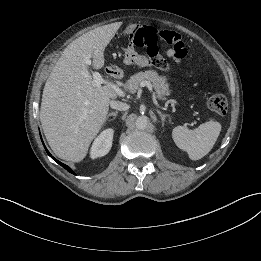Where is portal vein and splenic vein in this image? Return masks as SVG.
Masks as SVG:
<instances>
[{"label": "portal vein and splenic vein", "instance_id": "1", "mask_svg": "<svg viewBox=\"0 0 261 261\" xmlns=\"http://www.w3.org/2000/svg\"><path fill=\"white\" fill-rule=\"evenodd\" d=\"M90 58L91 57L89 55L85 57V63L87 65H89V66L91 65V59ZM92 76H93V85L94 86L100 87L101 84L107 83V85H109L115 91V93L117 95L124 96V92L119 87H117L116 85L111 84V83L105 81L99 72L93 71L92 72ZM144 86H147L149 88V90H152V86H151V84L149 82H147V81L142 82L141 83V87H144ZM153 96H154V94H153Z\"/></svg>", "mask_w": 261, "mask_h": 261}]
</instances>
